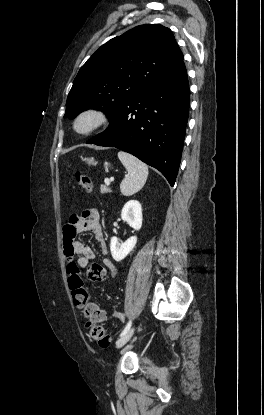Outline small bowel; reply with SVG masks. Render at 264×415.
<instances>
[{
    "label": "small bowel",
    "mask_w": 264,
    "mask_h": 415,
    "mask_svg": "<svg viewBox=\"0 0 264 415\" xmlns=\"http://www.w3.org/2000/svg\"><path fill=\"white\" fill-rule=\"evenodd\" d=\"M100 212L96 208L86 209L81 215H71L68 225L64 229V257L69 263H74L79 269L85 268L89 261L95 258V251L88 245L76 239L77 233L90 231L98 243L99 250L102 254L107 253V245L99 223ZM108 272L111 276L116 274V269L112 261L104 259ZM101 310V309H100ZM103 313V320H106V312Z\"/></svg>",
    "instance_id": "obj_1"
}]
</instances>
